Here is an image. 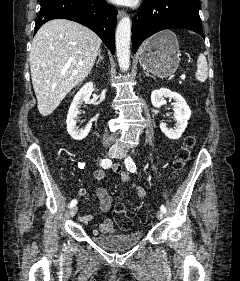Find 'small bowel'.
Listing matches in <instances>:
<instances>
[{
    "label": "small bowel",
    "mask_w": 240,
    "mask_h": 281,
    "mask_svg": "<svg viewBox=\"0 0 240 281\" xmlns=\"http://www.w3.org/2000/svg\"><path fill=\"white\" fill-rule=\"evenodd\" d=\"M112 171L116 174L120 175V178L123 183H125L128 187L135 190V193L137 197L140 199H143L146 197V190L141 185L131 181L129 175L124 172L119 165H115L112 168ZM94 177L96 181L99 183L97 189H96V196L100 202V209L102 212L107 213L110 211L112 206V197L107 192V190L101 186V182L105 177V172L102 169H98L94 173ZM77 193L80 196H86L87 195V189L86 188H79ZM93 219L92 215H81L80 220L84 223H89ZM117 232V229L114 227L113 222L110 218L104 219L101 224L99 225L98 229H94L93 233L94 235L102 234V235H110L115 234Z\"/></svg>",
    "instance_id": "small-bowel-1"
}]
</instances>
